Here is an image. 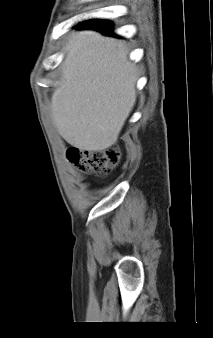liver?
<instances>
[{"label":"liver","mask_w":213,"mask_h":338,"mask_svg":"<svg viewBox=\"0 0 213 338\" xmlns=\"http://www.w3.org/2000/svg\"><path fill=\"white\" fill-rule=\"evenodd\" d=\"M63 52L62 82L51 97L53 123L79 150H105L135 105L137 70L123 42L94 31L73 32Z\"/></svg>","instance_id":"1"}]
</instances>
